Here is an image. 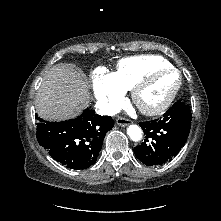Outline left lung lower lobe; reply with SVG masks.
<instances>
[{"mask_svg":"<svg viewBox=\"0 0 221 221\" xmlns=\"http://www.w3.org/2000/svg\"><path fill=\"white\" fill-rule=\"evenodd\" d=\"M192 114L189 106L176 102L163 117L141 122L146 135L144 142L134 148L137 158L147 166L166 163L184 146L191 128Z\"/></svg>","mask_w":221,"mask_h":221,"instance_id":"left-lung-lower-lobe-1","label":"left lung lower lobe"}]
</instances>
